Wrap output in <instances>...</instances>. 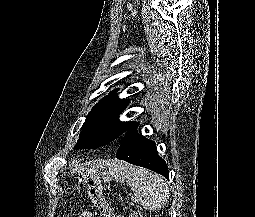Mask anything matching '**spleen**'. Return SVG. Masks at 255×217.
<instances>
[{
	"mask_svg": "<svg viewBox=\"0 0 255 217\" xmlns=\"http://www.w3.org/2000/svg\"><path fill=\"white\" fill-rule=\"evenodd\" d=\"M109 170L115 179L125 180L134 192L142 194L144 209L155 211L168 202L169 187L161 176L120 161L113 162Z\"/></svg>",
	"mask_w": 255,
	"mask_h": 217,
	"instance_id": "obj_1",
	"label": "spleen"
}]
</instances>
